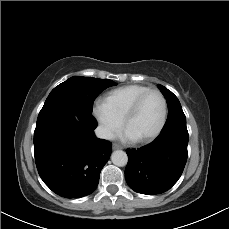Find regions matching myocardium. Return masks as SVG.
<instances>
[{
	"mask_svg": "<svg viewBox=\"0 0 229 229\" xmlns=\"http://www.w3.org/2000/svg\"><path fill=\"white\" fill-rule=\"evenodd\" d=\"M152 93L158 94L162 100L163 113H162L161 122L154 132L142 138H136V139L132 138L129 140L131 143H135V144L149 143L155 140L162 133V131L165 128L167 118H168V103H167L166 97L164 96V94L161 91L157 89H149L146 92L139 95L127 108L125 115L122 119V131L125 134L126 126L128 125L129 121L132 119L136 111L138 110L140 104L149 94H152Z\"/></svg>",
	"mask_w": 229,
	"mask_h": 229,
	"instance_id": "myocardium-1",
	"label": "myocardium"
}]
</instances>
